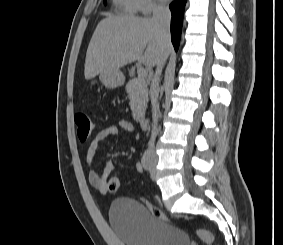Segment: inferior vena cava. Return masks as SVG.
I'll return each mask as SVG.
<instances>
[{
    "label": "inferior vena cava",
    "mask_w": 283,
    "mask_h": 245,
    "mask_svg": "<svg viewBox=\"0 0 283 245\" xmlns=\"http://www.w3.org/2000/svg\"><path fill=\"white\" fill-rule=\"evenodd\" d=\"M153 21L156 22L162 31L163 41L170 42V20H171V13L167 6L163 4L155 5L153 8ZM167 57H165L157 66L155 75L151 82L150 87V97H151V104H152V133L151 138L148 143V153L149 156L153 159H156L155 151H154V143L157 133V121L159 117V106L157 104L158 101V88H159V77L162 71V67L166 61Z\"/></svg>",
    "instance_id": "602c4592"
}]
</instances>
